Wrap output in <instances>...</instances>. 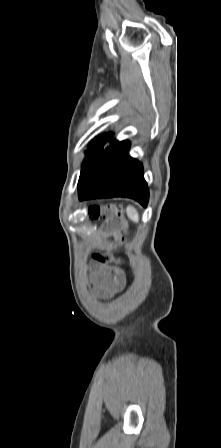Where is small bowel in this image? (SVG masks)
Masks as SVG:
<instances>
[{"mask_svg": "<svg viewBox=\"0 0 221 448\" xmlns=\"http://www.w3.org/2000/svg\"><path fill=\"white\" fill-rule=\"evenodd\" d=\"M97 289L104 295L119 292L126 284L124 271L115 266L98 265L93 274Z\"/></svg>", "mask_w": 221, "mask_h": 448, "instance_id": "obj_1", "label": "small bowel"}]
</instances>
